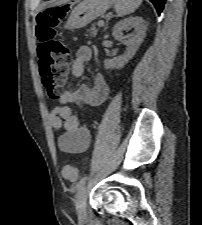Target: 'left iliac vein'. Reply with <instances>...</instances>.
<instances>
[{"mask_svg":"<svg viewBox=\"0 0 202 225\" xmlns=\"http://www.w3.org/2000/svg\"><path fill=\"white\" fill-rule=\"evenodd\" d=\"M86 205H87V187H83L82 190L78 193L76 201L77 214L80 220L86 218Z\"/></svg>","mask_w":202,"mask_h":225,"instance_id":"4c4485c4","label":"left iliac vein"}]
</instances>
